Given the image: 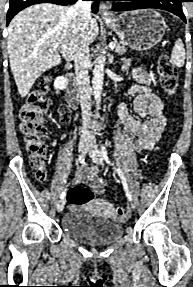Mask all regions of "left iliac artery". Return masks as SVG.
Returning a JSON list of instances; mask_svg holds the SVG:
<instances>
[{"label": "left iliac artery", "mask_w": 193, "mask_h": 287, "mask_svg": "<svg viewBox=\"0 0 193 287\" xmlns=\"http://www.w3.org/2000/svg\"><path fill=\"white\" fill-rule=\"evenodd\" d=\"M101 152H102V155H103V158L105 159V161H106L108 164L112 165V166H113V169L118 173V175H119V177H120V179H121V182H122L124 191H125V193H126V196H127V198H128L129 201H132V196H131V194H130V192H129V190H128L127 183H126V179H125V177H124V173L122 172V170H121L120 168L116 167V166L112 163L111 158H110V156H109V154H108V152H107V150H106V148H105V146H104L103 144L101 145Z\"/></svg>", "instance_id": "44dca946"}]
</instances>
